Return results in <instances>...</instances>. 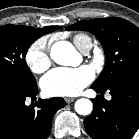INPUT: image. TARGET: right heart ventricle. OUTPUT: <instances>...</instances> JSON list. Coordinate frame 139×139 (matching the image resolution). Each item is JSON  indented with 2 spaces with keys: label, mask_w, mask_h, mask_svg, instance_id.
<instances>
[{
  "label": "right heart ventricle",
  "mask_w": 139,
  "mask_h": 139,
  "mask_svg": "<svg viewBox=\"0 0 139 139\" xmlns=\"http://www.w3.org/2000/svg\"><path fill=\"white\" fill-rule=\"evenodd\" d=\"M74 44L78 49L82 50L83 45L86 41H91V38L86 34H77L73 38Z\"/></svg>",
  "instance_id": "obj_1"
}]
</instances>
